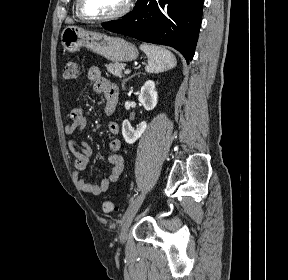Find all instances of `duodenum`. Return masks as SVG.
Here are the masks:
<instances>
[{"label":"duodenum","instance_id":"obj_1","mask_svg":"<svg viewBox=\"0 0 288 280\" xmlns=\"http://www.w3.org/2000/svg\"><path fill=\"white\" fill-rule=\"evenodd\" d=\"M117 105V101L116 100H112L109 104L110 110L114 111Z\"/></svg>","mask_w":288,"mask_h":280}]
</instances>
